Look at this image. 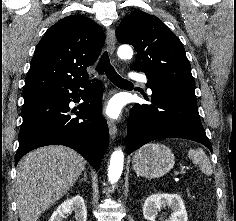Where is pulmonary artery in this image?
Masks as SVG:
<instances>
[{"instance_id": "1", "label": "pulmonary artery", "mask_w": 236, "mask_h": 221, "mask_svg": "<svg viewBox=\"0 0 236 221\" xmlns=\"http://www.w3.org/2000/svg\"><path fill=\"white\" fill-rule=\"evenodd\" d=\"M133 79L141 82L142 84H145V85H148V79L146 78V76L144 75H137V76H134ZM148 92L150 93L151 92V89L148 87Z\"/></svg>"}]
</instances>
